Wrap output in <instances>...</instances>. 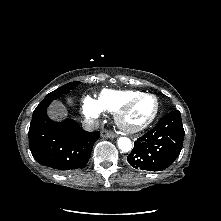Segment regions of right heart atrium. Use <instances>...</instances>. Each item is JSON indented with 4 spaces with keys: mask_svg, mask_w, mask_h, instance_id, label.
I'll return each instance as SVG.
<instances>
[{
    "mask_svg": "<svg viewBox=\"0 0 221 221\" xmlns=\"http://www.w3.org/2000/svg\"><path fill=\"white\" fill-rule=\"evenodd\" d=\"M83 114L89 118H98L101 114V109L98 107L96 100L90 96H85L82 102Z\"/></svg>",
    "mask_w": 221,
    "mask_h": 221,
    "instance_id": "right-heart-atrium-1",
    "label": "right heart atrium"
}]
</instances>
